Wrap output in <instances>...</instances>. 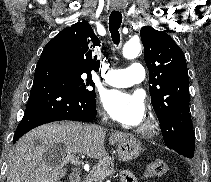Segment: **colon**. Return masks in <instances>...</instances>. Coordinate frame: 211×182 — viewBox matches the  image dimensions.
Here are the masks:
<instances>
[{
	"mask_svg": "<svg viewBox=\"0 0 211 182\" xmlns=\"http://www.w3.org/2000/svg\"><path fill=\"white\" fill-rule=\"evenodd\" d=\"M169 171L168 164L163 160H156L150 163L146 176L149 178L161 177Z\"/></svg>",
	"mask_w": 211,
	"mask_h": 182,
	"instance_id": "obj_1",
	"label": "colon"
}]
</instances>
